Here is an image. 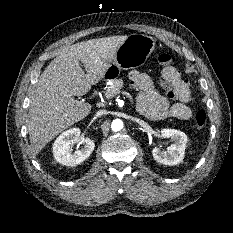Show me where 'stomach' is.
Wrapping results in <instances>:
<instances>
[{
  "label": "stomach",
  "instance_id": "stomach-1",
  "mask_svg": "<svg viewBox=\"0 0 233 233\" xmlns=\"http://www.w3.org/2000/svg\"><path fill=\"white\" fill-rule=\"evenodd\" d=\"M155 49V40L144 34H130L118 48L113 63L118 71L142 65Z\"/></svg>",
  "mask_w": 233,
  "mask_h": 233
}]
</instances>
